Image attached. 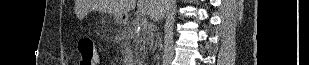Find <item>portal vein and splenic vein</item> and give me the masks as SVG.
Wrapping results in <instances>:
<instances>
[{
  "instance_id": "1",
  "label": "portal vein and splenic vein",
  "mask_w": 309,
  "mask_h": 65,
  "mask_svg": "<svg viewBox=\"0 0 309 65\" xmlns=\"http://www.w3.org/2000/svg\"><path fill=\"white\" fill-rule=\"evenodd\" d=\"M139 28H143V29H146L147 28V20L146 19H142L141 22H140V26Z\"/></svg>"
}]
</instances>
